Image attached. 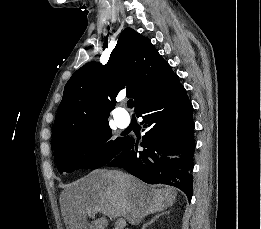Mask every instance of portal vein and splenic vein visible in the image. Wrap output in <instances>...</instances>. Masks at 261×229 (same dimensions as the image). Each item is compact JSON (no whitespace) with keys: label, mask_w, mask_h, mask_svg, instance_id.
Wrapping results in <instances>:
<instances>
[{"label":"portal vein and splenic vein","mask_w":261,"mask_h":229,"mask_svg":"<svg viewBox=\"0 0 261 229\" xmlns=\"http://www.w3.org/2000/svg\"><path fill=\"white\" fill-rule=\"evenodd\" d=\"M124 227H126L125 219H118L116 223V229H124Z\"/></svg>","instance_id":"portal-vein-and-splenic-vein-1"}]
</instances>
